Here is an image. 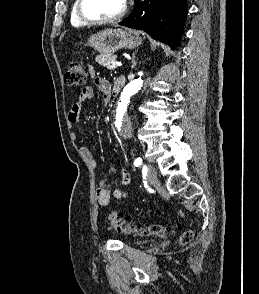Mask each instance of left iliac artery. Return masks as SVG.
<instances>
[{"instance_id": "left-iliac-artery-1", "label": "left iliac artery", "mask_w": 259, "mask_h": 294, "mask_svg": "<svg viewBox=\"0 0 259 294\" xmlns=\"http://www.w3.org/2000/svg\"><path fill=\"white\" fill-rule=\"evenodd\" d=\"M134 165H135L136 167H138V166H142V165H143V160H142V158H140V157L136 158L135 161H134ZM143 170H146V171H147V167H146V166H143Z\"/></svg>"}]
</instances>
